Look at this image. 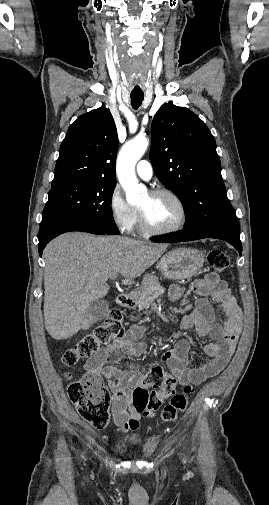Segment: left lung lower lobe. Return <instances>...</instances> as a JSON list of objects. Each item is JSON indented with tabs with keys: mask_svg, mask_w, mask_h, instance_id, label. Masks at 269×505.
Listing matches in <instances>:
<instances>
[{
	"mask_svg": "<svg viewBox=\"0 0 269 505\" xmlns=\"http://www.w3.org/2000/svg\"><path fill=\"white\" fill-rule=\"evenodd\" d=\"M203 238H216V239H221L224 240L231 245H233L239 254L241 255L242 253V244L240 241V234L239 230L236 228H230V227H222V228H217L213 230H209L206 232L202 233H196V234H186L184 232H179L174 235L166 236V237H161V238H155L152 241L154 242H181V241H192V240H197V239H203Z\"/></svg>",
	"mask_w": 269,
	"mask_h": 505,
	"instance_id": "left-lung-lower-lobe-1",
	"label": "left lung lower lobe"
}]
</instances>
